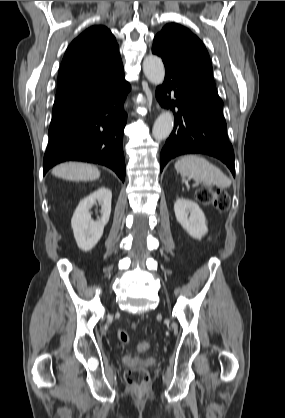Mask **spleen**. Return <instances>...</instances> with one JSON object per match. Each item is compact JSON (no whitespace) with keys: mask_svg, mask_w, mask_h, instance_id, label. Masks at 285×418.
I'll list each match as a JSON object with an SVG mask.
<instances>
[{"mask_svg":"<svg viewBox=\"0 0 285 418\" xmlns=\"http://www.w3.org/2000/svg\"><path fill=\"white\" fill-rule=\"evenodd\" d=\"M175 169L182 176L193 178L196 182L214 184L227 188L231 180L215 165L197 155H186L175 163Z\"/></svg>","mask_w":285,"mask_h":418,"instance_id":"3e777b00","label":"spleen"}]
</instances>
